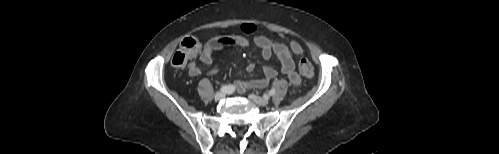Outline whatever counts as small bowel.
<instances>
[{
  "label": "small bowel",
  "instance_id": "1",
  "mask_svg": "<svg viewBox=\"0 0 499 154\" xmlns=\"http://www.w3.org/2000/svg\"><path fill=\"white\" fill-rule=\"evenodd\" d=\"M240 30L245 34H252L255 32L256 27L252 24H243ZM253 44L258 47L261 51L262 56L265 59H269L272 56H276L281 64V73L284 74L294 87L300 85L301 79L299 74L296 72L295 63L293 59V50L282 43H275L271 41L268 37L264 35L256 34L252 39ZM251 41L242 36H220L210 39L204 45L201 61L206 65H211L213 57L216 51L225 47H249ZM255 65L249 63L246 66L248 72L253 71ZM189 74L191 76H198L202 73V70L194 62L189 64L188 67ZM216 68H211L208 74L214 75L217 73ZM278 72L277 70L266 65L263 68V77L258 79H251L247 81H237L235 83V88L239 93H244L247 89H262L266 87L270 81H272Z\"/></svg>",
  "mask_w": 499,
  "mask_h": 154
}]
</instances>
